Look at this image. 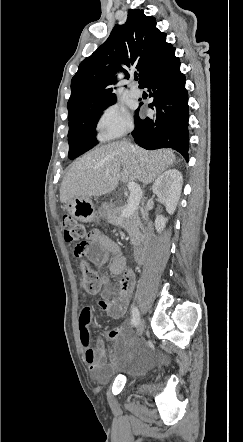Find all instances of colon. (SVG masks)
<instances>
[{"mask_svg":"<svg viewBox=\"0 0 243 442\" xmlns=\"http://www.w3.org/2000/svg\"><path fill=\"white\" fill-rule=\"evenodd\" d=\"M62 225L64 228V237L69 243V252H75L77 257H82L88 248L86 242L85 227L70 215L62 216ZM103 285V279L99 273L90 267L85 261L82 262V287L89 294H97Z\"/></svg>","mask_w":243,"mask_h":442,"instance_id":"1","label":"colon"}]
</instances>
